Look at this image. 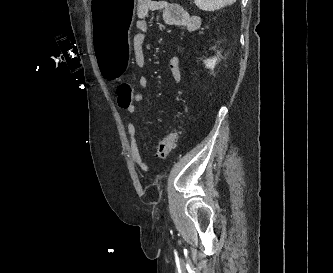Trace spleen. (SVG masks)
Wrapping results in <instances>:
<instances>
[{"label": "spleen", "mask_w": 333, "mask_h": 273, "mask_svg": "<svg viewBox=\"0 0 333 273\" xmlns=\"http://www.w3.org/2000/svg\"><path fill=\"white\" fill-rule=\"evenodd\" d=\"M235 2L236 0H194L196 6L203 11H215Z\"/></svg>", "instance_id": "obj_1"}]
</instances>
